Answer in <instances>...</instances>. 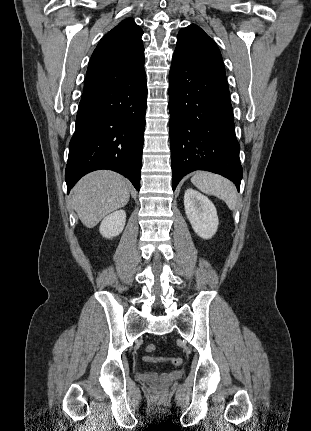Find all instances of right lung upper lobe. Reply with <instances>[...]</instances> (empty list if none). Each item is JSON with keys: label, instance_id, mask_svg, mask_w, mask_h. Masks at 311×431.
<instances>
[{"label": "right lung upper lobe", "instance_id": "right-lung-upper-lobe-1", "mask_svg": "<svg viewBox=\"0 0 311 431\" xmlns=\"http://www.w3.org/2000/svg\"><path fill=\"white\" fill-rule=\"evenodd\" d=\"M142 34L132 18L121 21L109 31L92 54L84 90L126 80L143 68Z\"/></svg>", "mask_w": 311, "mask_h": 431}]
</instances>
